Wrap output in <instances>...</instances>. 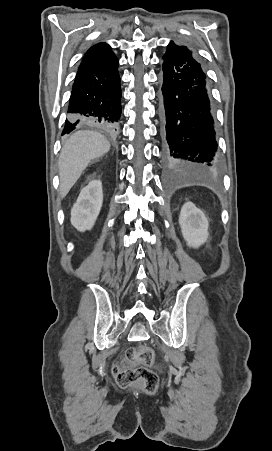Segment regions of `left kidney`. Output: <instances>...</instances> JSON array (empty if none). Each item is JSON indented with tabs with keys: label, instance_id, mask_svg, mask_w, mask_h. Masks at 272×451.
<instances>
[{
	"label": "left kidney",
	"instance_id": "5707ae66",
	"mask_svg": "<svg viewBox=\"0 0 272 451\" xmlns=\"http://www.w3.org/2000/svg\"><path fill=\"white\" fill-rule=\"evenodd\" d=\"M179 224L183 237L190 247H199V245H202L206 241L209 235V224L206 216L192 202H186L182 206Z\"/></svg>",
	"mask_w": 272,
	"mask_h": 451
}]
</instances>
